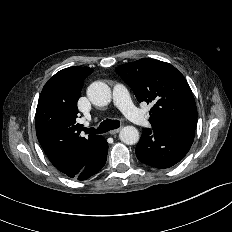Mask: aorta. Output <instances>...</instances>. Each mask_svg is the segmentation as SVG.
I'll return each instance as SVG.
<instances>
[{
	"mask_svg": "<svg viewBox=\"0 0 232 232\" xmlns=\"http://www.w3.org/2000/svg\"><path fill=\"white\" fill-rule=\"evenodd\" d=\"M87 97L96 106H106L111 102V89L104 82L96 81L89 85ZM119 138L123 143L133 145L139 141V132L133 126H125L121 129Z\"/></svg>",
	"mask_w": 232,
	"mask_h": 232,
	"instance_id": "obj_1",
	"label": "aorta"
}]
</instances>
